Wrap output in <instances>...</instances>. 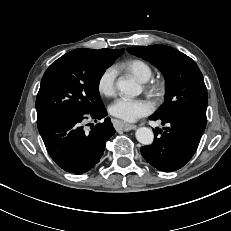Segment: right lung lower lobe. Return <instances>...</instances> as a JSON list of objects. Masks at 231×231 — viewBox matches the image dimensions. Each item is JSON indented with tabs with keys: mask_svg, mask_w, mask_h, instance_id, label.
Returning <instances> with one entry per match:
<instances>
[{
	"mask_svg": "<svg viewBox=\"0 0 231 231\" xmlns=\"http://www.w3.org/2000/svg\"><path fill=\"white\" fill-rule=\"evenodd\" d=\"M107 115L105 108L91 113L97 122ZM85 116L62 115L38 122V130L46 149L63 170L82 174L93 168L105 150V143L115 134L109 118L84 130Z\"/></svg>",
	"mask_w": 231,
	"mask_h": 231,
	"instance_id": "right-lung-lower-lobe-1",
	"label": "right lung lower lobe"
}]
</instances>
